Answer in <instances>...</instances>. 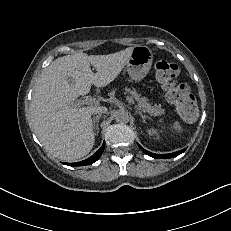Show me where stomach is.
<instances>
[{"label":"stomach","instance_id":"0dacf381","mask_svg":"<svg viewBox=\"0 0 231 231\" xmlns=\"http://www.w3.org/2000/svg\"><path fill=\"white\" fill-rule=\"evenodd\" d=\"M153 52L147 46L133 48L131 57L126 64L127 72L132 80L139 82L144 79L152 65Z\"/></svg>","mask_w":231,"mask_h":231}]
</instances>
